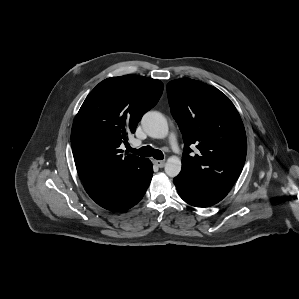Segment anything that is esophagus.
Returning <instances> with one entry per match:
<instances>
[{
    "label": "esophagus",
    "mask_w": 299,
    "mask_h": 299,
    "mask_svg": "<svg viewBox=\"0 0 299 299\" xmlns=\"http://www.w3.org/2000/svg\"><path fill=\"white\" fill-rule=\"evenodd\" d=\"M153 163L158 166L159 168H163L165 166L164 160H154Z\"/></svg>",
    "instance_id": "obj_1"
}]
</instances>
